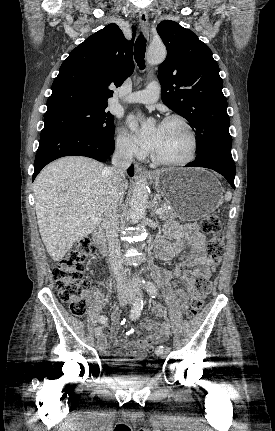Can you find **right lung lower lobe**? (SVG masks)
Returning <instances> with one entry per match:
<instances>
[{"label": "right lung lower lobe", "mask_w": 275, "mask_h": 431, "mask_svg": "<svg viewBox=\"0 0 275 431\" xmlns=\"http://www.w3.org/2000/svg\"><path fill=\"white\" fill-rule=\"evenodd\" d=\"M114 148L113 137L68 127L45 128L41 133L32 180L44 166L57 158L77 155L104 162L110 159ZM128 174L134 175L133 165Z\"/></svg>", "instance_id": "obj_1"}]
</instances>
